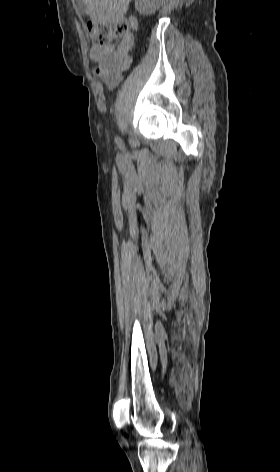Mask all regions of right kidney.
Listing matches in <instances>:
<instances>
[{"label": "right kidney", "mask_w": 280, "mask_h": 472, "mask_svg": "<svg viewBox=\"0 0 280 472\" xmlns=\"http://www.w3.org/2000/svg\"><path fill=\"white\" fill-rule=\"evenodd\" d=\"M162 0H135V6L142 15H148L156 11Z\"/></svg>", "instance_id": "obj_1"}]
</instances>
